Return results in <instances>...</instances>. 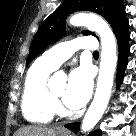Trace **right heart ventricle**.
I'll return each instance as SVG.
<instances>
[{
    "mask_svg": "<svg viewBox=\"0 0 136 136\" xmlns=\"http://www.w3.org/2000/svg\"><path fill=\"white\" fill-rule=\"evenodd\" d=\"M54 69L37 60L28 70L21 96V109L25 119L31 123H49L54 118L56 107L47 86Z\"/></svg>",
    "mask_w": 136,
    "mask_h": 136,
    "instance_id": "obj_1",
    "label": "right heart ventricle"
}]
</instances>
